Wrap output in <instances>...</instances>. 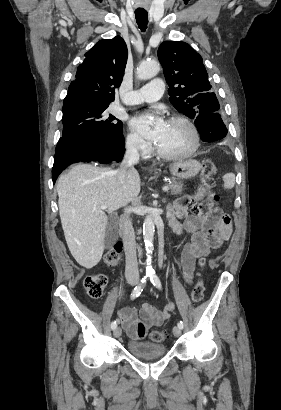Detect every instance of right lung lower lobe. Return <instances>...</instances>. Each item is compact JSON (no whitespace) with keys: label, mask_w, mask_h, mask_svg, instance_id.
<instances>
[{"label":"right lung lower lobe","mask_w":281,"mask_h":410,"mask_svg":"<svg viewBox=\"0 0 281 410\" xmlns=\"http://www.w3.org/2000/svg\"><path fill=\"white\" fill-rule=\"evenodd\" d=\"M124 154V136L115 139L83 140L56 148L52 180L69 165L77 162H120Z\"/></svg>","instance_id":"obj_1"}]
</instances>
